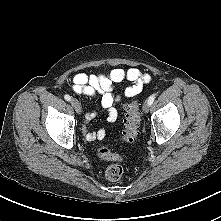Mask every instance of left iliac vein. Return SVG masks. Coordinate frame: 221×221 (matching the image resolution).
Instances as JSON below:
<instances>
[{
  "label": "left iliac vein",
  "mask_w": 221,
  "mask_h": 221,
  "mask_svg": "<svg viewBox=\"0 0 221 221\" xmlns=\"http://www.w3.org/2000/svg\"><path fill=\"white\" fill-rule=\"evenodd\" d=\"M149 107H150V105H149L148 101H146V102L143 104V111H144L145 113H148Z\"/></svg>",
  "instance_id": "1"
}]
</instances>
